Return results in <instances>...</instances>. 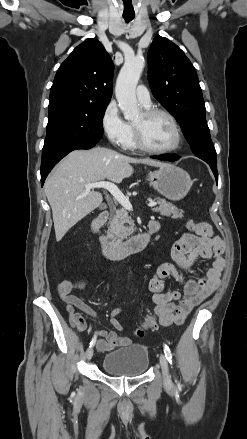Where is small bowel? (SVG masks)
I'll use <instances>...</instances> for the list:
<instances>
[{
    "instance_id": "small-bowel-1",
    "label": "small bowel",
    "mask_w": 247,
    "mask_h": 439,
    "mask_svg": "<svg viewBox=\"0 0 247 439\" xmlns=\"http://www.w3.org/2000/svg\"><path fill=\"white\" fill-rule=\"evenodd\" d=\"M151 222L156 225L158 231L160 223ZM223 250L224 243L221 238L216 236L211 226L204 222L199 223V229L193 233H184L175 242L171 248V261L160 264L148 284L152 300L156 304L152 313L157 316L161 326L183 324L192 309L217 289L221 272L225 267ZM211 258L213 262L207 271L206 278L198 277L194 270L195 264L201 259ZM184 273H192L194 276L185 280ZM169 277L184 284L182 292H163L164 279ZM74 286L73 281L64 280L58 285V293L65 303L71 326L79 332H85L87 323L77 310L92 318H97V313L86 302L71 293ZM122 310L121 307L114 309L110 319L111 325L120 332L124 329L116 316ZM93 336L96 348L100 352L112 351L132 343L131 338L119 336L115 331L97 330L94 331Z\"/></svg>"
}]
</instances>
